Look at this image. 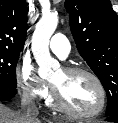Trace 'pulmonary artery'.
I'll use <instances>...</instances> for the list:
<instances>
[{
    "label": "pulmonary artery",
    "mask_w": 118,
    "mask_h": 123,
    "mask_svg": "<svg viewBox=\"0 0 118 123\" xmlns=\"http://www.w3.org/2000/svg\"><path fill=\"white\" fill-rule=\"evenodd\" d=\"M51 51L60 58H66L70 52V43L63 34H55L49 43Z\"/></svg>",
    "instance_id": "e3ab8cb5"
}]
</instances>
